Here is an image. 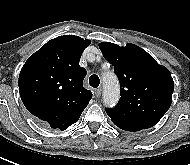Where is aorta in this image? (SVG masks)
<instances>
[{"mask_svg": "<svg viewBox=\"0 0 190 165\" xmlns=\"http://www.w3.org/2000/svg\"><path fill=\"white\" fill-rule=\"evenodd\" d=\"M104 92L103 102L108 107L116 105L119 99V84L117 78L113 74H107L103 78Z\"/></svg>", "mask_w": 190, "mask_h": 165, "instance_id": "obj_1", "label": "aorta"}]
</instances>
